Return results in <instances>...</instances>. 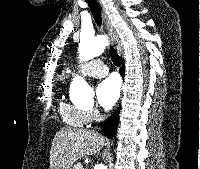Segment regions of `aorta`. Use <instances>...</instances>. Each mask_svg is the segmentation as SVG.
Returning <instances> with one entry per match:
<instances>
[{"label": "aorta", "mask_w": 200, "mask_h": 169, "mask_svg": "<svg viewBox=\"0 0 200 169\" xmlns=\"http://www.w3.org/2000/svg\"><path fill=\"white\" fill-rule=\"evenodd\" d=\"M108 40L106 36L100 35L94 36H81L79 43V60L81 62H86L99 56L106 48ZM70 94L73 100L88 99L92 100L94 92L88 83L81 77H75L70 85ZM94 169H107V167L102 164H96Z\"/></svg>", "instance_id": "1"}]
</instances>
